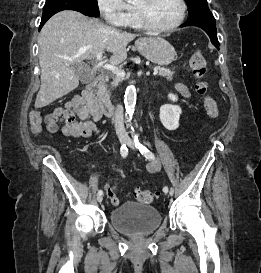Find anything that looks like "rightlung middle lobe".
<instances>
[{"instance_id": "dd1d6c3e", "label": "right lung middle lobe", "mask_w": 261, "mask_h": 273, "mask_svg": "<svg viewBox=\"0 0 261 273\" xmlns=\"http://www.w3.org/2000/svg\"><path fill=\"white\" fill-rule=\"evenodd\" d=\"M76 0H47L42 16H52L55 13L62 10H70L71 3ZM85 6L94 14L99 15V9L97 5V0H81Z\"/></svg>"}]
</instances>
